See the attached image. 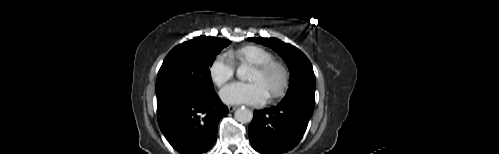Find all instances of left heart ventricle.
I'll use <instances>...</instances> for the list:
<instances>
[{
	"mask_svg": "<svg viewBox=\"0 0 499 154\" xmlns=\"http://www.w3.org/2000/svg\"><path fill=\"white\" fill-rule=\"evenodd\" d=\"M251 82H259L263 85L267 94L269 95L275 88H277L281 81V73L275 69L268 74H260L257 70L253 69L248 77Z\"/></svg>",
	"mask_w": 499,
	"mask_h": 154,
	"instance_id": "left-heart-ventricle-1",
	"label": "left heart ventricle"
}]
</instances>
